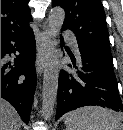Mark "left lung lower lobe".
Returning a JSON list of instances; mask_svg holds the SVG:
<instances>
[{
  "label": "left lung lower lobe",
  "instance_id": "0a47b994",
  "mask_svg": "<svg viewBox=\"0 0 123 130\" xmlns=\"http://www.w3.org/2000/svg\"><path fill=\"white\" fill-rule=\"evenodd\" d=\"M73 73L62 70L58 82L55 120L82 106H101L123 112L112 56L79 46V61L71 57Z\"/></svg>",
  "mask_w": 123,
  "mask_h": 130
}]
</instances>
